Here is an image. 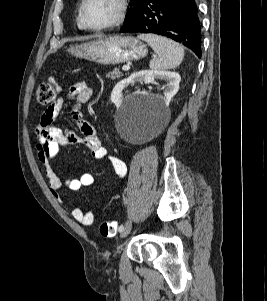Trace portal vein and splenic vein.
<instances>
[{
	"label": "portal vein and splenic vein",
	"instance_id": "obj_1",
	"mask_svg": "<svg viewBox=\"0 0 267 301\" xmlns=\"http://www.w3.org/2000/svg\"><path fill=\"white\" fill-rule=\"evenodd\" d=\"M129 69H130V66H123V67H122V70H123V71H129Z\"/></svg>",
	"mask_w": 267,
	"mask_h": 301
}]
</instances>
